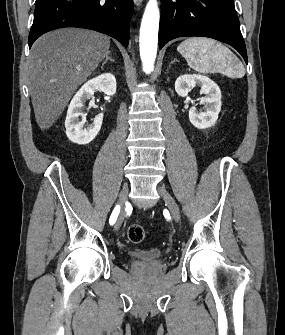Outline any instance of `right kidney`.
<instances>
[{"label": "right kidney", "instance_id": "ca27d5eb", "mask_svg": "<svg viewBox=\"0 0 285 335\" xmlns=\"http://www.w3.org/2000/svg\"><path fill=\"white\" fill-rule=\"evenodd\" d=\"M96 88L100 92H104L107 96H114L116 94V78L113 74H101L93 80L86 82L79 92H76L74 98H72L65 120L66 136L74 142V144H80L85 146L94 140L103 122V114L95 116L93 124H89L88 128H83L85 124L86 114H82L83 106L86 100L92 98ZM82 116V122L79 118Z\"/></svg>", "mask_w": 285, "mask_h": 335}]
</instances>
